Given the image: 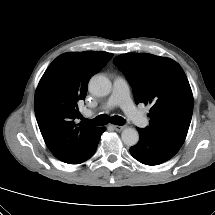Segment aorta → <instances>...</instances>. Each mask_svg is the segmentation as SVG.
I'll return each mask as SVG.
<instances>
[{
    "mask_svg": "<svg viewBox=\"0 0 215 215\" xmlns=\"http://www.w3.org/2000/svg\"><path fill=\"white\" fill-rule=\"evenodd\" d=\"M111 88V81L104 75H94L88 85L90 93L98 97L107 96ZM121 138L125 145L134 146L138 143L139 134L134 128H125L121 133Z\"/></svg>",
    "mask_w": 215,
    "mask_h": 215,
    "instance_id": "aorta-1",
    "label": "aorta"
}]
</instances>
